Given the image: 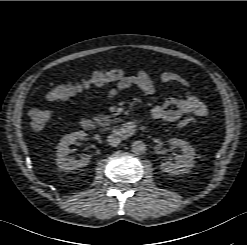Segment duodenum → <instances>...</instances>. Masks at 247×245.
I'll use <instances>...</instances> for the list:
<instances>
[{
	"mask_svg": "<svg viewBox=\"0 0 247 245\" xmlns=\"http://www.w3.org/2000/svg\"><path fill=\"white\" fill-rule=\"evenodd\" d=\"M83 129L91 131L96 127V122L90 118H84L81 121ZM136 128V121H130L122 124L119 128L114 131V134L120 139L128 138L132 136Z\"/></svg>",
	"mask_w": 247,
	"mask_h": 245,
	"instance_id": "410a0bca",
	"label": "duodenum"
}]
</instances>
